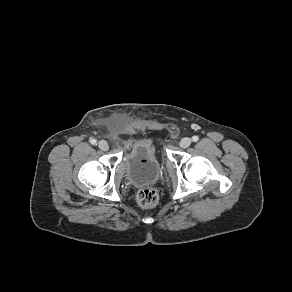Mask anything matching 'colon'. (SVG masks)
<instances>
[{"instance_id":"colon-1","label":"colon","mask_w":292,"mask_h":292,"mask_svg":"<svg viewBox=\"0 0 292 292\" xmlns=\"http://www.w3.org/2000/svg\"><path fill=\"white\" fill-rule=\"evenodd\" d=\"M159 200L158 191L153 187L143 188L137 193V201L144 208L154 207Z\"/></svg>"}]
</instances>
